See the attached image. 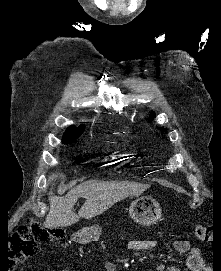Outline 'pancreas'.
Listing matches in <instances>:
<instances>
[{
  "instance_id": "1",
  "label": "pancreas",
  "mask_w": 221,
  "mask_h": 271,
  "mask_svg": "<svg viewBox=\"0 0 221 271\" xmlns=\"http://www.w3.org/2000/svg\"><path fill=\"white\" fill-rule=\"evenodd\" d=\"M114 240H115L116 242H118V241L121 242L123 239H122L121 237H119V238L116 237Z\"/></svg>"
}]
</instances>
